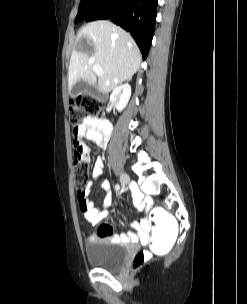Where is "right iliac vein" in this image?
Returning <instances> with one entry per match:
<instances>
[{
	"label": "right iliac vein",
	"mask_w": 247,
	"mask_h": 304,
	"mask_svg": "<svg viewBox=\"0 0 247 304\" xmlns=\"http://www.w3.org/2000/svg\"><path fill=\"white\" fill-rule=\"evenodd\" d=\"M120 182L124 187L127 186L130 182L129 176L126 173H121L120 174Z\"/></svg>",
	"instance_id": "63e3f726"
}]
</instances>
